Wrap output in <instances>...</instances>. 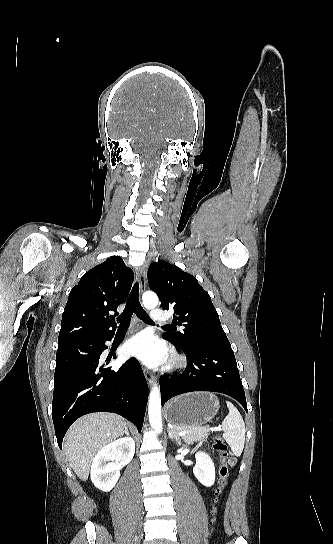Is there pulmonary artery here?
I'll list each match as a JSON object with an SVG mask.
<instances>
[{
    "label": "pulmonary artery",
    "mask_w": 333,
    "mask_h": 544,
    "mask_svg": "<svg viewBox=\"0 0 333 544\" xmlns=\"http://www.w3.org/2000/svg\"><path fill=\"white\" fill-rule=\"evenodd\" d=\"M151 319L154 321H166L168 320V316L159 309H153L151 311Z\"/></svg>",
    "instance_id": "pulmonary-artery-1"
}]
</instances>
